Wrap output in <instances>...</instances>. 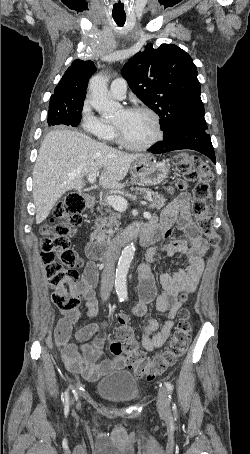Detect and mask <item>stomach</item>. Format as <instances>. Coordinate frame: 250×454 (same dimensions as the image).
Listing matches in <instances>:
<instances>
[{
	"mask_svg": "<svg viewBox=\"0 0 250 454\" xmlns=\"http://www.w3.org/2000/svg\"><path fill=\"white\" fill-rule=\"evenodd\" d=\"M169 172L166 161H156L151 155H142L133 162L131 174L141 185H156L164 181Z\"/></svg>",
	"mask_w": 250,
	"mask_h": 454,
	"instance_id": "1",
	"label": "stomach"
}]
</instances>
